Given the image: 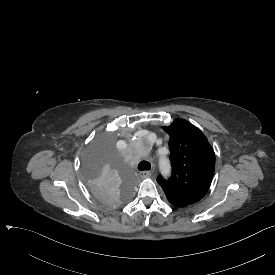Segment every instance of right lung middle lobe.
<instances>
[{
	"instance_id": "right-lung-middle-lobe-1",
	"label": "right lung middle lobe",
	"mask_w": 275,
	"mask_h": 275,
	"mask_svg": "<svg viewBox=\"0 0 275 275\" xmlns=\"http://www.w3.org/2000/svg\"><path fill=\"white\" fill-rule=\"evenodd\" d=\"M84 177L95 200L105 208L124 205L136 183V173L110 138L93 141L85 157Z\"/></svg>"
}]
</instances>
